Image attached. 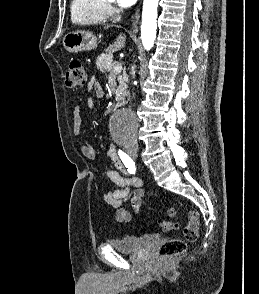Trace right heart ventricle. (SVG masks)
<instances>
[{
	"instance_id": "e07e8e85",
	"label": "right heart ventricle",
	"mask_w": 259,
	"mask_h": 294,
	"mask_svg": "<svg viewBox=\"0 0 259 294\" xmlns=\"http://www.w3.org/2000/svg\"><path fill=\"white\" fill-rule=\"evenodd\" d=\"M108 17L104 0H72L71 19L78 25L103 23Z\"/></svg>"
}]
</instances>
